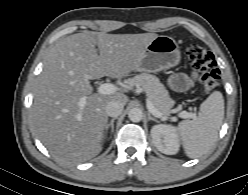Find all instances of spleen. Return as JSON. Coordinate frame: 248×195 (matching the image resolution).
<instances>
[{
    "mask_svg": "<svg viewBox=\"0 0 248 195\" xmlns=\"http://www.w3.org/2000/svg\"><path fill=\"white\" fill-rule=\"evenodd\" d=\"M224 118V99L219 91L213 92L201 105L200 114L193 120L181 121L177 131L186 155L198 158L206 154L217 140Z\"/></svg>",
    "mask_w": 248,
    "mask_h": 195,
    "instance_id": "1",
    "label": "spleen"
}]
</instances>
